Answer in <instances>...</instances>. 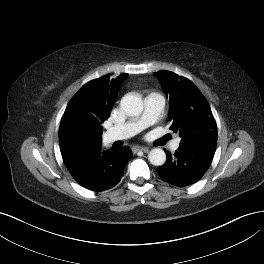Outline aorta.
I'll return each mask as SVG.
<instances>
[{
	"label": "aorta",
	"mask_w": 264,
	"mask_h": 264,
	"mask_svg": "<svg viewBox=\"0 0 264 264\" xmlns=\"http://www.w3.org/2000/svg\"><path fill=\"white\" fill-rule=\"evenodd\" d=\"M120 104L122 109L129 116L140 115L144 108L142 99L139 96L132 93L126 94L121 99ZM148 159L151 164L155 166H161L166 162V154L162 149L155 148L149 152Z\"/></svg>",
	"instance_id": "aorta-1"
}]
</instances>
